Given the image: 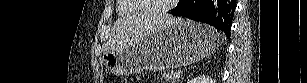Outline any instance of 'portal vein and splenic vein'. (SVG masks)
<instances>
[{"mask_svg": "<svg viewBox=\"0 0 307 83\" xmlns=\"http://www.w3.org/2000/svg\"><path fill=\"white\" fill-rule=\"evenodd\" d=\"M174 77L179 79L180 78V74L177 73V74L174 75Z\"/></svg>", "mask_w": 307, "mask_h": 83, "instance_id": "portal-vein-and-splenic-vein-1", "label": "portal vein and splenic vein"}]
</instances>
